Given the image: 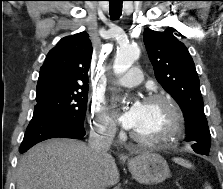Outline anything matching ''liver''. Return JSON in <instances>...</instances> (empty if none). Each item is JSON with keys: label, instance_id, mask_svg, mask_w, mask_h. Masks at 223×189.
Wrapping results in <instances>:
<instances>
[{"label": "liver", "instance_id": "liver-1", "mask_svg": "<svg viewBox=\"0 0 223 189\" xmlns=\"http://www.w3.org/2000/svg\"><path fill=\"white\" fill-rule=\"evenodd\" d=\"M119 181L110 154L95 155L85 143L56 138L39 143L18 164L17 189H100Z\"/></svg>", "mask_w": 223, "mask_h": 189}]
</instances>
